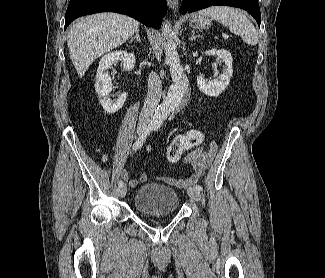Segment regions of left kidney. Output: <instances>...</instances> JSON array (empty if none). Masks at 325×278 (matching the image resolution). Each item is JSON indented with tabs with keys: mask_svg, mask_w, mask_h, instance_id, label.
Instances as JSON below:
<instances>
[{
	"mask_svg": "<svg viewBox=\"0 0 325 278\" xmlns=\"http://www.w3.org/2000/svg\"><path fill=\"white\" fill-rule=\"evenodd\" d=\"M206 55H217L224 62L223 74L220 75L219 79L213 81H205L202 76L197 77V85L202 93L207 96L217 97L219 96L229 85L230 78L233 73L232 69V55L226 50H208L205 52Z\"/></svg>",
	"mask_w": 325,
	"mask_h": 278,
	"instance_id": "left-kidney-1",
	"label": "left kidney"
}]
</instances>
